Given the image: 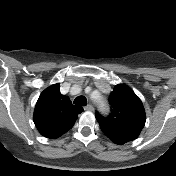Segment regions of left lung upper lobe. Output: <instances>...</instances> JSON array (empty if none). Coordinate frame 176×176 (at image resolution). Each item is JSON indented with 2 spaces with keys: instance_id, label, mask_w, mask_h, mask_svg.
I'll use <instances>...</instances> for the list:
<instances>
[{
  "instance_id": "left-lung-upper-lobe-1",
  "label": "left lung upper lobe",
  "mask_w": 176,
  "mask_h": 176,
  "mask_svg": "<svg viewBox=\"0 0 176 176\" xmlns=\"http://www.w3.org/2000/svg\"><path fill=\"white\" fill-rule=\"evenodd\" d=\"M111 113L96 119L103 133L115 144H125L138 137L145 125L146 115L140 99L126 85L119 84L109 96Z\"/></svg>"
}]
</instances>
